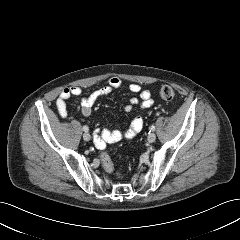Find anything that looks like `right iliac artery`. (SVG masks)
<instances>
[{
    "instance_id": "right-iliac-artery-1",
    "label": "right iliac artery",
    "mask_w": 240,
    "mask_h": 240,
    "mask_svg": "<svg viewBox=\"0 0 240 240\" xmlns=\"http://www.w3.org/2000/svg\"><path fill=\"white\" fill-rule=\"evenodd\" d=\"M83 130H84L85 132H87V131L89 130V128H88L87 126H83Z\"/></svg>"
}]
</instances>
